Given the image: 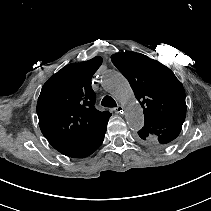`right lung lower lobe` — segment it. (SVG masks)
Returning a JSON list of instances; mask_svg holds the SVG:
<instances>
[{
	"label": "right lung lower lobe",
	"mask_w": 211,
	"mask_h": 211,
	"mask_svg": "<svg viewBox=\"0 0 211 211\" xmlns=\"http://www.w3.org/2000/svg\"><path fill=\"white\" fill-rule=\"evenodd\" d=\"M108 119L94 131L80 134L71 139L52 145L60 153L72 158H84L91 155L102 144Z\"/></svg>",
	"instance_id": "1"
}]
</instances>
